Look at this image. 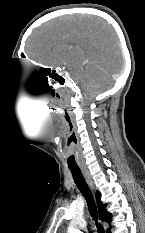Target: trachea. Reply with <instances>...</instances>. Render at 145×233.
I'll list each match as a JSON object with an SVG mask.
<instances>
[{
    "label": "trachea",
    "instance_id": "3493384b",
    "mask_svg": "<svg viewBox=\"0 0 145 233\" xmlns=\"http://www.w3.org/2000/svg\"><path fill=\"white\" fill-rule=\"evenodd\" d=\"M70 170H71V173L73 175V178H74V181L77 187L79 188V190L85 197V200L88 205L89 213L91 217L93 218V220L96 222L98 233H105L103 226L98 223L97 207H96L92 192L90 191L81 173V170L79 168H71V167H70Z\"/></svg>",
    "mask_w": 145,
    "mask_h": 233
}]
</instances>
